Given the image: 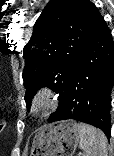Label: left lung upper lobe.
Returning <instances> with one entry per match:
<instances>
[{
    "label": "left lung upper lobe",
    "instance_id": "1",
    "mask_svg": "<svg viewBox=\"0 0 114 156\" xmlns=\"http://www.w3.org/2000/svg\"><path fill=\"white\" fill-rule=\"evenodd\" d=\"M98 15V9L89 0L49 1L34 25L31 40L24 47L22 76L28 107L35 93L48 86L60 94L59 110L78 57Z\"/></svg>",
    "mask_w": 114,
    "mask_h": 156
}]
</instances>
